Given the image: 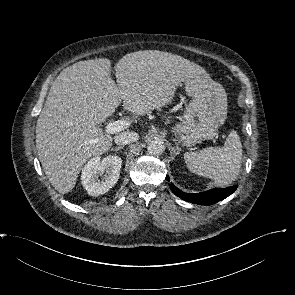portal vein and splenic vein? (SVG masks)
Instances as JSON below:
<instances>
[{
	"mask_svg": "<svg viewBox=\"0 0 295 295\" xmlns=\"http://www.w3.org/2000/svg\"><path fill=\"white\" fill-rule=\"evenodd\" d=\"M129 125L130 123L123 120L109 121L105 127V132L108 134H115L128 128Z\"/></svg>",
	"mask_w": 295,
	"mask_h": 295,
	"instance_id": "18ae733b",
	"label": "portal vein and splenic vein"
}]
</instances>
